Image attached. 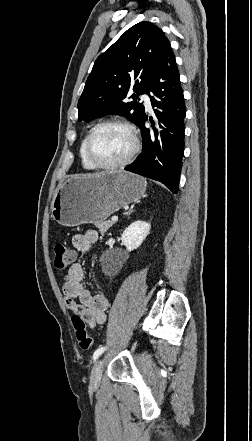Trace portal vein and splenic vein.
Masks as SVG:
<instances>
[{
  "label": "portal vein and splenic vein",
  "mask_w": 252,
  "mask_h": 441,
  "mask_svg": "<svg viewBox=\"0 0 252 441\" xmlns=\"http://www.w3.org/2000/svg\"><path fill=\"white\" fill-rule=\"evenodd\" d=\"M111 220H112L113 222H116V221L118 220V216H113V217L111 218Z\"/></svg>",
  "instance_id": "18ae733b"
}]
</instances>
